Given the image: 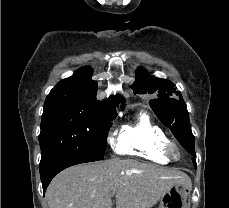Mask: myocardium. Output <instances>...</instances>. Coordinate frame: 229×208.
I'll use <instances>...</instances> for the list:
<instances>
[{"instance_id": "obj_1", "label": "myocardium", "mask_w": 229, "mask_h": 208, "mask_svg": "<svg viewBox=\"0 0 229 208\" xmlns=\"http://www.w3.org/2000/svg\"><path fill=\"white\" fill-rule=\"evenodd\" d=\"M166 158H171L173 160H179L182 155H183V147L182 145L174 140V139H169L166 143Z\"/></svg>"}]
</instances>
